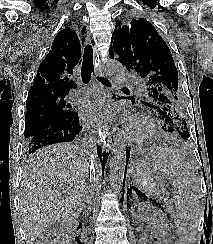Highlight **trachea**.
Segmentation results:
<instances>
[{"label": "trachea", "instance_id": "3493384b", "mask_svg": "<svg viewBox=\"0 0 213 244\" xmlns=\"http://www.w3.org/2000/svg\"><path fill=\"white\" fill-rule=\"evenodd\" d=\"M94 72V65H93V49L91 45H87L84 49V56L82 62V81L84 83H89L91 78V73ZM99 81L107 86H111L109 81L102 77H97Z\"/></svg>", "mask_w": 213, "mask_h": 244}]
</instances>
